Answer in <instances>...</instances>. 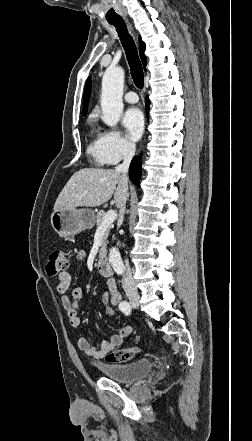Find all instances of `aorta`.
Listing matches in <instances>:
<instances>
[{
    "label": "aorta",
    "instance_id": "1",
    "mask_svg": "<svg viewBox=\"0 0 252 441\" xmlns=\"http://www.w3.org/2000/svg\"><path fill=\"white\" fill-rule=\"evenodd\" d=\"M123 87L124 70L121 67L108 68L103 75L101 92L102 120L108 126H116L123 112ZM109 261L116 273H123L124 264L117 248L110 249Z\"/></svg>",
    "mask_w": 252,
    "mask_h": 441
}]
</instances>
